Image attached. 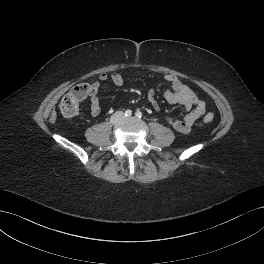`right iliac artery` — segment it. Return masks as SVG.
Segmentation results:
<instances>
[{
  "mask_svg": "<svg viewBox=\"0 0 264 264\" xmlns=\"http://www.w3.org/2000/svg\"><path fill=\"white\" fill-rule=\"evenodd\" d=\"M132 115V111L131 110H126L125 111V116L126 117H130Z\"/></svg>",
  "mask_w": 264,
  "mask_h": 264,
  "instance_id": "right-iliac-artery-1",
  "label": "right iliac artery"
}]
</instances>
